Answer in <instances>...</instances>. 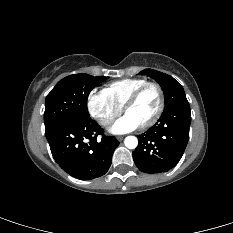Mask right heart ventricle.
Segmentation results:
<instances>
[{
  "label": "right heart ventricle",
  "instance_id": "obj_1",
  "mask_svg": "<svg viewBox=\"0 0 233 233\" xmlns=\"http://www.w3.org/2000/svg\"><path fill=\"white\" fill-rule=\"evenodd\" d=\"M148 81L143 78H127L113 81L103 88V93L114 104L123 107L127 98L141 85Z\"/></svg>",
  "mask_w": 233,
  "mask_h": 233
}]
</instances>
